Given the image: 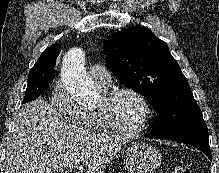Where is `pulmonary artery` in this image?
Wrapping results in <instances>:
<instances>
[{
  "instance_id": "pulmonary-artery-1",
  "label": "pulmonary artery",
  "mask_w": 219,
  "mask_h": 173,
  "mask_svg": "<svg viewBox=\"0 0 219 173\" xmlns=\"http://www.w3.org/2000/svg\"><path fill=\"white\" fill-rule=\"evenodd\" d=\"M92 80L100 86H109L111 83V75L103 64H94L89 69Z\"/></svg>"
}]
</instances>
